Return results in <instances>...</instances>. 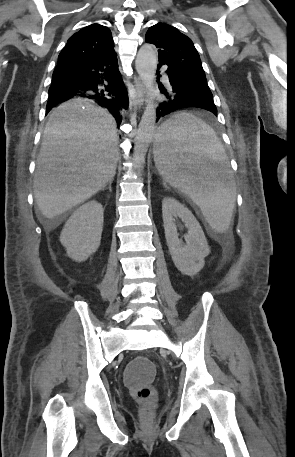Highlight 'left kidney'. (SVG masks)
Returning <instances> with one entry per match:
<instances>
[{
    "instance_id": "left-kidney-1",
    "label": "left kidney",
    "mask_w": 295,
    "mask_h": 457,
    "mask_svg": "<svg viewBox=\"0 0 295 457\" xmlns=\"http://www.w3.org/2000/svg\"><path fill=\"white\" fill-rule=\"evenodd\" d=\"M162 215L167 245L175 266L185 275H196L204 267V259L210 253L199 222L187 207L171 197L163 199ZM177 217L188 229L185 235L186 245L178 238Z\"/></svg>"
}]
</instances>
